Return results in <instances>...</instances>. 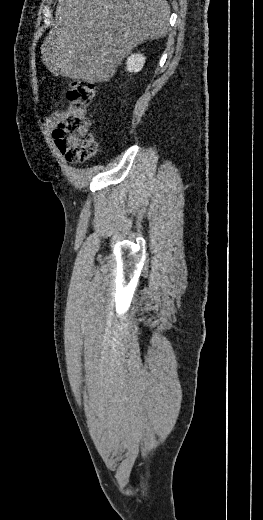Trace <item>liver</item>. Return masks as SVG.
Here are the masks:
<instances>
[{
	"instance_id": "obj_1",
	"label": "liver",
	"mask_w": 263,
	"mask_h": 520,
	"mask_svg": "<svg viewBox=\"0 0 263 520\" xmlns=\"http://www.w3.org/2000/svg\"><path fill=\"white\" fill-rule=\"evenodd\" d=\"M166 0H59L42 60L55 76L106 82L137 45L168 33Z\"/></svg>"
}]
</instances>
